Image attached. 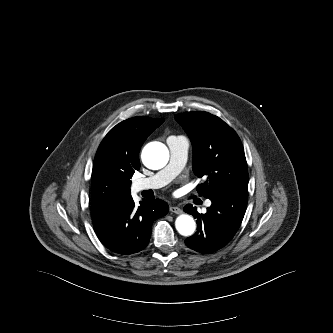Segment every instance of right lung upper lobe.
<instances>
[{
	"instance_id": "1",
	"label": "right lung upper lobe",
	"mask_w": 333,
	"mask_h": 333,
	"mask_svg": "<svg viewBox=\"0 0 333 333\" xmlns=\"http://www.w3.org/2000/svg\"><path fill=\"white\" fill-rule=\"evenodd\" d=\"M163 121V118L134 117L108 132L94 159L92 201L117 204L131 196L130 178L140 168V148Z\"/></svg>"
}]
</instances>
